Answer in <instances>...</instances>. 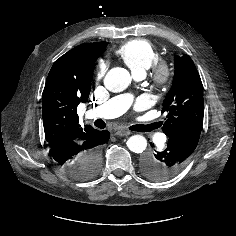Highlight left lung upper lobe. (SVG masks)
I'll list each match as a JSON object with an SVG mask.
<instances>
[{
  "label": "left lung upper lobe",
  "instance_id": "5c2ea615",
  "mask_svg": "<svg viewBox=\"0 0 236 236\" xmlns=\"http://www.w3.org/2000/svg\"><path fill=\"white\" fill-rule=\"evenodd\" d=\"M174 59L175 75L162 109L168 112L162 127L167 136L203 124V86L197 69L188 55Z\"/></svg>",
  "mask_w": 236,
  "mask_h": 236
}]
</instances>
